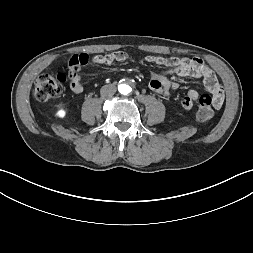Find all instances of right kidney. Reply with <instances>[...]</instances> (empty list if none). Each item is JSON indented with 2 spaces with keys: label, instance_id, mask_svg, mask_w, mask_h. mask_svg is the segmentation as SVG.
<instances>
[{
  "label": "right kidney",
  "instance_id": "obj_1",
  "mask_svg": "<svg viewBox=\"0 0 253 253\" xmlns=\"http://www.w3.org/2000/svg\"><path fill=\"white\" fill-rule=\"evenodd\" d=\"M58 117L60 118H64L65 115H66V111L64 109H60L58 110L57 114H56Z\"/></svg>",
  "mask_w": 253,
  "mask_h": 253
}]
</instances>
